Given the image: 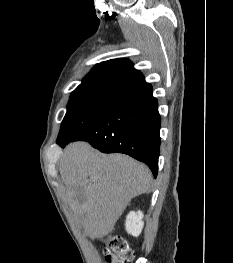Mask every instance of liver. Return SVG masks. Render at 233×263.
<instances>
[{
  "label": "liver",
  "mask_w": 233,
  "mask_h": 263,
  "mask_svg": "<svg viewBox=\"0 0 233 263\" xmlns=\"http://www.w3.org/2000/svg\"><path fill=\"white\" fill-rule=\"evenodd\" d=\"M59 165L67 202L90 239L109 234L131 199L151 186L147 166L123 154H101L86 142L69 144Z\"/></svg>",
  "instance_id": "6515ba94"
}]
</instances>
